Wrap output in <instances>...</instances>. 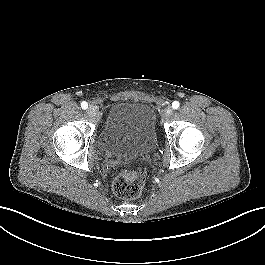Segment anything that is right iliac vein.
<instances>
[{
	"instance_id": "right-iliac-vein-1",
	"label": "right iliac vein",
	"mask_w": 265,
	"mask_h": 265,
	"mask_svg": "<svg viewBox=\"0 0 265 265\" xmlns=\"http://www.w3.org/2000/svg\"><path fill=\"white\" fill-rule=\"evenodd\" d=\"M87 113L90 117L92 118H95L97 116V111L96 109L93 107V106H90L88 109H87Z\"/></svg>"
}]
</instances>
